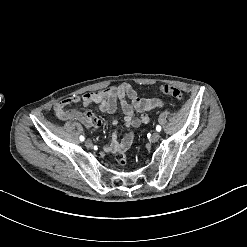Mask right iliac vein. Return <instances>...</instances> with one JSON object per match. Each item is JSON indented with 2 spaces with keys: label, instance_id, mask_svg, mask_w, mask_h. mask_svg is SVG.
<instances>
[{
  "label": "right iliac vein",
  "instance_id": "63e3f726",
  "mask_svg": "<svg viewBox=\"0 0 247 247\" xmlns=\"http://www.w3.org/2000/svg\"><path fill=\"white\" fill-rule=\"evenodd\" d=\"M85 145H86L87 148H92L93 147V143H92L91 140H86L85 141Z\"/></svg>",
  "mask_w": 247,
  "mask_h": 247
}]
</instances>
